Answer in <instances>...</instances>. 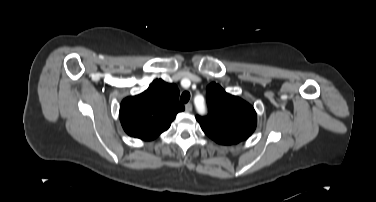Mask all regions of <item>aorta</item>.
I'll use <instances>...</instances> for the list:
<instances>
[{"label":"aorta","mask_w":376,"mask_h":202,"mask_svg":"<svg viewBox=\"0 0 376 202\" xmlns=\"http://www.w3.org/2000/svg\"><path fill=\"white\" fill-rule=\"evenodd\" d=\"M197 107H198V111H199L200 114L205 113V108L202 104H198Z\"/></svg>","instance_id":"aorta-1"}]
</instances>
